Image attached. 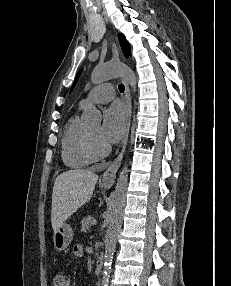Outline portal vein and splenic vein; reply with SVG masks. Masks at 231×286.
Listing matches in <instances>:
<instances>
[{"mask_svg": "<svg viewBox=\"0 0 231 286\" xmlns=\"http://www.w3.org/2000/svg\"><path fill=\"white\" fill-rule=\"evenodd\" d=\"M96 223H97L96 219H92L91 224L96 225Z\"/></svg>", "mask_w": 231, "mask_h": 286, "instance_id": "obj_1", "label": "portal vein and splenic vein"}]
</instances>
